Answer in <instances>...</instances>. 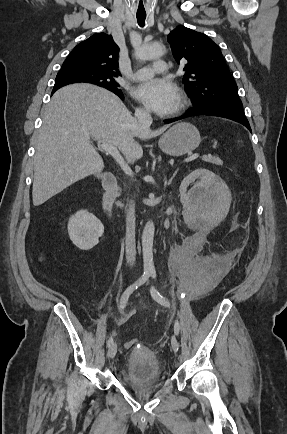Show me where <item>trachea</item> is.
Segmentation results:
<instances>
[{"label":"trachea","instance_id":"3493384b","mask_svg":"<svg viewBox=\"0 0 287 434\" xmlns=\"http://www.w3.org/2000/svg\"><path fill=\"white\" fill-rule=\"evenodd\" d=\"M136 17H137V21H138L139 26L144 27L146 14H136Z\"/></svg>","mask_w":287,"mask_h":434}]
</instances>
